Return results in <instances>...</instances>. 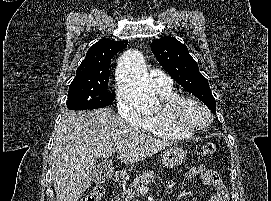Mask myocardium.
Here are the masks:
<instances>
[{
	"mask_svg": "<svg viewBox=\"0 0 271 201\" xmlns=\"http://www.w3.org/2000/svg\"><path fill=\"white\" fill-rule=\"evenodd\" d=\"M188 105L200 107L207 114V122L203 125H196L190 122L185 116V108ZM159 112L174 126L181 130L191 133L203 131L209 127L213 121V115L210 109L202 101L187 96H176L163 100Z\"/></svg>",
	"mask_w": 271,
	"mask_h": 201,
	"instance_id": "1",
	"label": "myocardium"
}]
</instances>
